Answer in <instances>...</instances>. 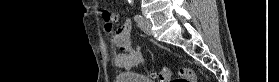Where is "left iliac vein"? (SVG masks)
I'll use <instances>...</instances> for the list:
<instances>
[{
	"label": "left iliac vein",
	"mask_w": 279,
	"mask_h": 82,
	"mask_svg": "<svg viewBox=\"0 0 279 82\" xmlns=\"http://www.w3.org/2000/svg\"><path fill=\"white\" fill-rule=\"evenodd\" d=\"M140 28L147 34L151 35L152 30H151V21L148 18H143L142 21L138 22Z\"/></svg>",
	"instance_id": "1"
}]
</instances>
